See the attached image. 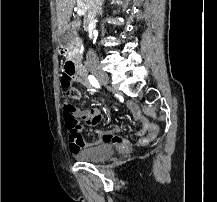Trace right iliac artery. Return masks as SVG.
<instances>
[{"mask_svg": "<svg viewBox=\"0 0 217 202\" xmlns=\"http://www.w3.org/2000/svg\"><path fill=\"white\" fill-rule=\"evenodd\" d=\"M88 79L92 86H94L95 88H100L99 82L94 76L89 75Z\"/></svg>", "mask_w": 217, "mask_h": 202, "instance_id": "right-iliac-artery-1", "label": "right iliac artery"}]
</instances>
